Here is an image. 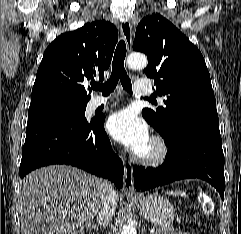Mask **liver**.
Wrapping results in <instances>:
<instances>
[{
    "label": "liver",
    "instance_id": "liver-1",
    "mask_svg": "<svg viewBox=\"0 0 241 234\" xmlns=\"http://www.w3.org/2000/svg\"><path fill=\"white\" fill-rule=\"evenodd\" d=\"M101 181L65 165L28 174L19 193L21 234H85L101 203Z\"/></svg>",
    "mask_w": 241,
    "mask_h": 234
}]
</instances>
